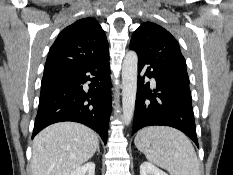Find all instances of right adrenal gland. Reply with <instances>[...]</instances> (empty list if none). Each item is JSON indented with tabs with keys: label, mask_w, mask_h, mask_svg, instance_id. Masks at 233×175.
Segmentation results:
<instances>
[{
	"label": "right adrenal gland",
	"mask_w": 233,
	"mask_h": 175,
	"mask_svg": "<svg viewBox=\"0 0 233 175\" xmlns=\"http://www.w3.org/2000/svg\"><path fill=\"white\" fill-rule=\"evenodd\" d=\"M97 154L100 155V148H99V146L97 147Z\"/></svg>",
	"instance_id": "right-adrenal-gland-1"
}]
</instances>
